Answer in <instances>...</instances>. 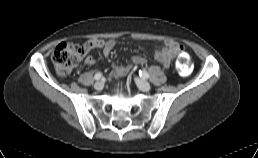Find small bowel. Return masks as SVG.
<instances>
[{
  "instance_id": "c3829d8e",
  "label": "small bowel",
  "mask_w": 258,
  "mask_h": 158,
  "mask_svg": "<svg viewBox=\"0 0 258 158\" xmlns=\"http://www.w3.org/2000/svg\"><path fill=\"white\" fill-rule=\"evenodd\" d=\"M90 49H99L102 51L105 57H108L110 52L115 46V41L109 40H90L85 43ZM182 45L173 39L164 40L163 44L156 49L155 58L165 68H168L171 64L172 59L180 52ZM132 61L136 64H145L147 59L143 56H135ZM88 63H94V60L89 59ZM128 71L127 67H120L117 69L116 74H124Z\"/></svg>"
}]
</instances>
